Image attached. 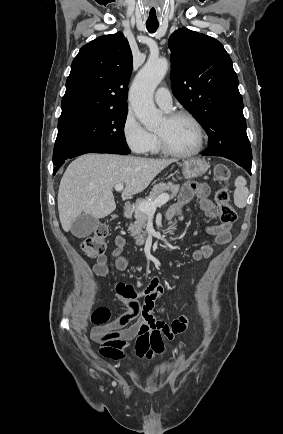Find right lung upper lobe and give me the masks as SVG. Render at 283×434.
Wrapping results in <instances>:
<instances>
[{"instance_id": "1", "label": "right lung upper lobe", "mask_w": 283, "mask_h": 434, "mask_svg": "<svg viewBox=\"0 0 283 434\" xmlns=\"http://www.w3.org/2000/svg\"><path fill=\"white\" fill-rule=\"evenodd\" d=\"M131 72L132 53L121 32L84 45L71 65L61 116L127 109Z\"/></svg>"}]
</instances>
